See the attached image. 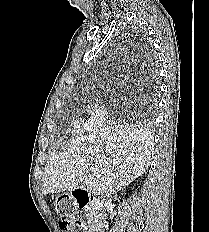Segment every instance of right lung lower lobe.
I'll return each instance as SVG.
<instances>
[{
	"mask_svg": "<svg viewBox=\"0 0 209 232\" xmlns=\"http://www.w3.org/2000/svg\"><path fill=\"white\" fill-rule=\"evenodd\" d=\"M141 56L143 57L144 61L147 62V66H153L155 59L153 57L152 51L148 47L143 49Z\"/></svg>",
	"mask_w": 209,
	"mask_h": 232,
	"instance_id": "obj_1",
	"label": "right lung lower lobe"
}]
</instances>
